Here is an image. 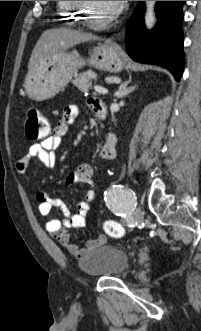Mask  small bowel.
<instances>
[{"mask_svg": "<svg viewBox=\"0 0 201 331\" xmlns=\"http://www.w3.org/2000/svg\"><path fill=\"white\" fill-rule=\"evenodd\" d=\"M89 106L95 114H98L100 111L105 113L104 105L99 100H90ZM78 114L79 110L75 105L66 106L53 132L40 142L32 144L27 153L16 161L15 167L17 171L25 174L29 164L34 159L40 160L48 167L54 166L57 158L56 151L61 144L62 137L67 133L69 126L77 119ZM115 154L116 137L114 134L108 133L100 149L99 156L104 160H112ZM80 183L88 185H93L94 183L93 169L89 164H81L67 176V185L72 186ZM94 198V191L87 189L84 193V199L77 203V211L73 214L60 199L51 198L45 192L36 193L38 212L46 219L47 231L77 259H82L90 250L102 244L98 239H93L88 240L83 246H78L71 242L68 233L69 229L83 228L86 225V216ZM53 208L58 209L62 213V220L51 217Z\"/></svg>", "mask_w": 201, "mask_h": 331, "instance_id": "1", "label": "small bowel"}]
</instances>
